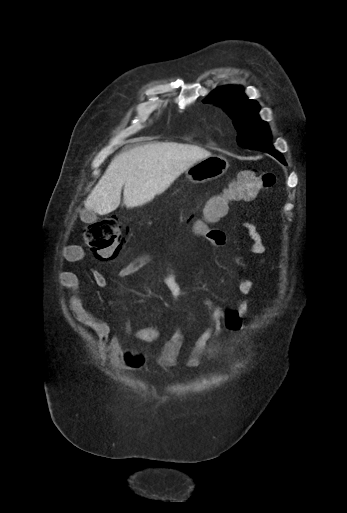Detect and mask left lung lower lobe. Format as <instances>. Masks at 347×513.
I'll use <instances>...</instances> for the list:
<instances>
[{"mask_svg": "<svg viewBox=\"0 0 347 513\" xmlns=\"http://www.w3.org/2000/svg\"><path fill=\"white\" fill-rule=\"evenodd\" d=\"M271 155H273L275 158H277L280 162H282L283 164H286L285 160L283 159L282 155L278 152V151H273L271 153H269Z\"/></svg>", "mask_w": 347, "mask_h": 513, "instance_id": "0a47b994", "label": "left lung lower lobe"}]
</instances>
